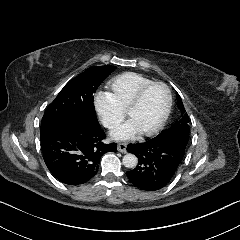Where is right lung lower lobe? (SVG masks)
I'll list each match as a JSON object with an SVG mask.
<instances>
[{
  "mask_svg": "<svg viewBox=\"0 0 240 240\" xmlns=\"http://www.w3.org/2000/svg\"><path fill=\"white\" fill-rule=\"evenodd\" d=\"M106 135L98 122L80 119L44 129L40 133L44 161L52 175L68 185L89 181L100 159L117 152V144L102 142Z\"/></svg>",
  "mask_w": 240,
  "mask_h": 240,
  "instance_id": "obj_1",
  "label": "right lung lower lobe"
}]
</instances>
